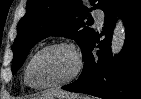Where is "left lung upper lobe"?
I'll return each instance as SVG.
<instances>
[{
    "label": "left lung upper lobe",
    "mask_w": 141,
    "mask_h": 99,
    "mask_svg": "<svg viewBox=\"0 0 141 99\" xmlns=\"http://www.w3.org/2000/svg\"><path fill=\"white\" fill-rule=\"evenodd\" d=\"M85 0H28L26 14L18 23L13 44L12 73L22 66L29 50L41 39L59 35L74 39L86 50L94 38V30L85 26L90 10ZM94 9L105 10L115 0H89Z\"/></svg>",
    "instance_id": "1"
}]
</instances>
